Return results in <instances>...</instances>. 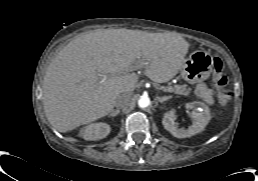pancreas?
Segmentation results:
<instances>
[{
  "instance_id": "pancreas-1",
  "label": "pancreas",
  "mask_w": 258,
  "mask_h": 181,
  "mask_svg": "<svg viewBox=\"0 0 258 181\" xmlns=\"http://www.w3.org/2000/svg\"><path fill=\"white\" fill-rule=\"evenodd\" d=\"M173 92L175 94L178 95H189L192 91L191 88L188 87V85L184 84V85H175L174 87H172Z\"/></svg>"
}]
</instances>
